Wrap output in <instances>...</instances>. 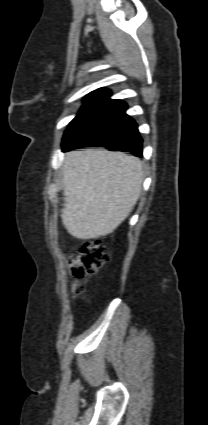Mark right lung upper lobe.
I'll return each instance as SVG.
<instances>
[{
  "label": "right lung upper lobe",
  "instance_id": "right-lung-upper-lobe-1",
  "mask_svg": "<svg viewBox=\"0 0 208 425\" xmlns=\"http://www.w3.org/2000/svg\"><path fill=\"white\" fill-rule=\"evenodd\" d=\"M106 89L105 88H100V89H97V90H95V91H93V92H91V93H93V94H100V93H102L103 91H105ZM90 93V94H91Z\"/></svg>",
  "mask_w": 208,
  "mask_h": 425
}]
</instances>
